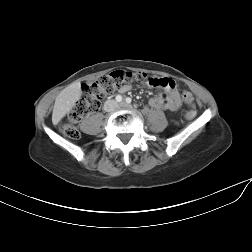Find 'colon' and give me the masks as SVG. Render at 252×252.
<instances>
[{"mask_svg": "<svg viewBox=\"0 0 252 252\" xmlns=\"http://www.w3.org/2000/svg\"><path fill=\"white\" fill-rule=\"evenodd\" d=\"M139 83L151 86L149 78L142 72L118 70L101 76L95 82L85 87L84 96L79 99L66 120L60 123L59 129L62 134L69 138H78L80 132L76 124L85 116L98 111L102 100L115 91H123L131 84ZM182 98L189 105L185 116L188 120L196 116L193 106V96L189 92H183Z\"/></svg>", "mask_w": 252, "mask_h": 252, "instance_id": "1", "label": "colon"}]
</instances>
